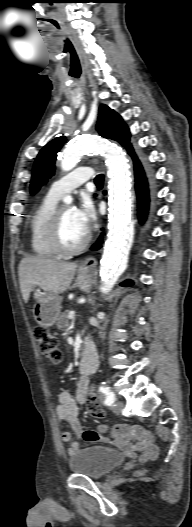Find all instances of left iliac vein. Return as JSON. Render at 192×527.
I'll return each mask as SVG.
<instances>
[{"mask_svg":"<svg viewBox=\"0 0 192 527\" xmlns=\"http://www.w3.org/2000/svg\"><path fill=\"white\" fill-rule=\"evenodd\" d=\"M123 408H124V403L122 401H116L112 406V410L115 414H120Z\"/></svg>","mask_w":192,"mask_h":527,"instance_id":"obj_1","label":"left iliac vein"}]
</instances>
